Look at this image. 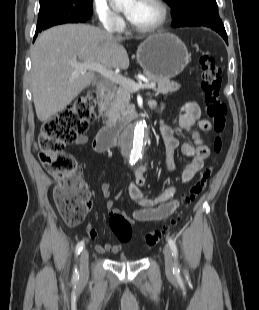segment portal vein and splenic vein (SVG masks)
Segmentation results:
<instances>
[{
    "mask_svg": "<svg viewBox=\"0 0 259 310\" xmlns=\"http://www.w3.org/2000/svg\"><path fill=\"white\" fill-rule=\"evenodd\" d=\"M71 65L78 70H91L100 73L106 79L125 87L126 89L136 92L140 89H154L156 87L155 83H136L130 79H127L114 71L107 69L102 64L93 62V61H85L82 63L71 62Z\"/></svg>",
    "mask_w": 259,
    "mask_h": 310,
    "instance_id": "obj_1",
    "label": "portal vein and splenic vein"
}]
</instances>
